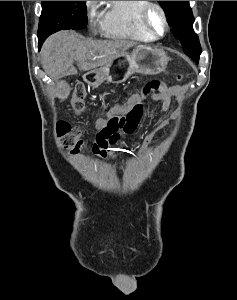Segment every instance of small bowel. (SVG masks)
<instances>
[{
    "mask_svg": "<svg viewBox=\"0 0 237 300\" xmlns=\"http://www.w3.org/2000/svg\"><path fill=\"white\" fill-rule=\"evenodd\" d=\"M182 92V87L180 86H171L169 87L168 89H166L165 92H163L157 99L161 101V105H160V111L161 112H165L168 110L169 106H170V103H171V98L172 97H175V96H178L180 95ZM140 98V95L139 93H136L134 94L127 103H125L124 105L122 106H117L113 109L110 110V112L108 113V115L105 117V118H101V119H98L95 123V128L99 131L101 128H103L107 121L113 117V116H116V115H120L122 113H125L127 112L132 104L137 101L138 99ZM94 152L100 156H103V157H108V156H111L112 153L110 150L108 151H97V150H94Z\"/></svg>",
    "mask_w": 237,
    "mask_h": 300,
    "instance_id": "small-bowel-1",
    "label": "small bowel"
}]
</instances>
